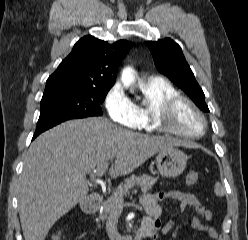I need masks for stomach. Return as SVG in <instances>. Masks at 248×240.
Listing matches in <instances>:
<instances>
[{
  "label": "stomach",
  "mask_w": 248,
  "mask_h": 240,
  "mask_svg": "<svg viewBox=\"0 0 248 240\" xmlns=\"http://www.w3.org/2000/svg\"><path fill=\"white\" fill-rule=\"evenodd\" d=\"M186 164L185 154L175 147L167 151H160L156 156L157 169L164 177H177L184 171Z\"/></svg>",
  "instance_id": "0dacf381"
}]
</instances>
